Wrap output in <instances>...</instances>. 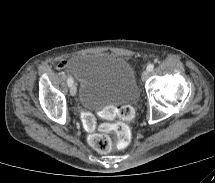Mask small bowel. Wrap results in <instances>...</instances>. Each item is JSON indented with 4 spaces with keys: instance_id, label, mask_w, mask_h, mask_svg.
<instances>
[{
    "instance_id": "1",
    "label": "small bowel",
    "mask_w": 215,
    "mask_h": 183,
    "mask_svg": "<svg viewBox=\"0 0 215 183\" xmlns=\"http://www.w3.org/2000/svg\"><path fill=\"white\" fill-rule=\"evenodd\" d=\"M67 64H68V61H67V60H63V61H61V62L58 64V68H59V69L64 68Z\"/></svg>"
}]
</instances>
